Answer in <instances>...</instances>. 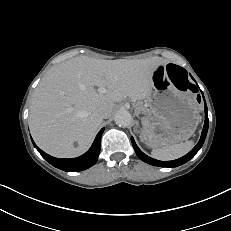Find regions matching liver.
<instances>
[{
    "instance_id": "6515ba94",
    "label": "liver",
    "mask_w": 231,
    "mask_h": 231,
    "mask_svg": "<svg viewBox=\"0 0 231 231\" xmlns=\"http://www.w3.org/2000/svg\"><path fill=\"white\" fill-rule=\"evenodd\" d=\"M165 64L160 57L102 60L78 56L52 67L31 101L28 122L34 141L58 158L83 154L102 122L98 111L105 108L111 113L124 97L147 99L152 71ZM94 86L107 87L106 92Z\"/></svg>"
}]
</instances>
